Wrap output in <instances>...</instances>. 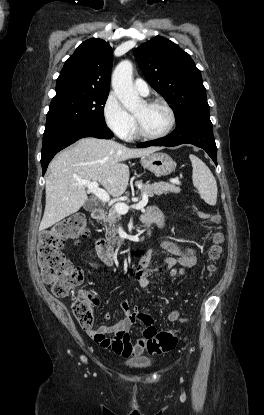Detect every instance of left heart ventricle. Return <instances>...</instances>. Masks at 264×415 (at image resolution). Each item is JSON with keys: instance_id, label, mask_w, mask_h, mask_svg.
Listing matches in <instances>:
<instances>
[{"instance_id": "b2bd125f", "label": "left heart ventricle", "mask_w": 264, "mask_h": 415, "mask_svg": "<svg viewBox=\"0 0 264 415\" xmlns=\"http://www.w3.org/2000/svg\"><path fill=\"white\" fill-rule=\"evenodd\" d=\"M136 116L147 134H159L169 124V114L162 106H147L143 103L135 112Z\"/></svg>"}]
</instances>
